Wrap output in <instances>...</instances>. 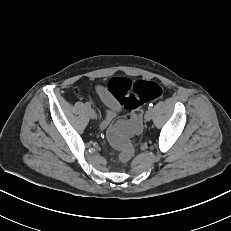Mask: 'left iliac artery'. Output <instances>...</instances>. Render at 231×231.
Listing matches in <instances>:
<instances>
[{"mask_svg":"<svg viewBox=\"0 0 231 231\" xmlns=\"http://www.w3.org/2000/svg\"><path fill=\"white\" fill-rule=\"evenodd\" d=\"M152 108H153V103H150L148 109L152 110Z\"/></svg>","mask_w":231,"mask_h":231,"instance_id":"1","label":"left iliac artery"}]
</instances>
